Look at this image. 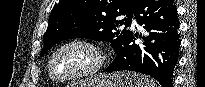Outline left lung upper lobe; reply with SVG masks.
Masks as SVG:
<instances>
[{
	"label": "left lung upper lobe",
	"mask_w": 205,
	"mask_h": 87,
	"mask_svg": "<svg viewBox=\"0 0 205 87\" xmlns=\"http://www.w3.org/2000/svg\"><path fill=\"white\" fill-rule=\"evenodd\" d=\"M139 0H59L53 7L47 31L43 36L45 54L59 41L89 38L110 42L117 56L132 32V15ZM126 15L124 19L120 16ZM125 25L124 29L120 27Z\"/></svg>",
	"instance_id": "left-lung-upper-lobe-1"
}]
</instances>
